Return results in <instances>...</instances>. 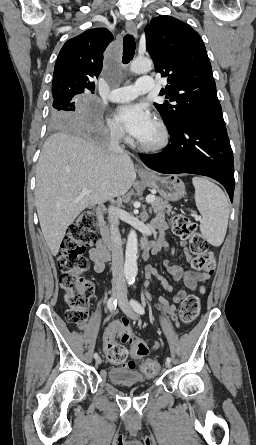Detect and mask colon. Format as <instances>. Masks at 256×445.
I'll return each mask as SVG.
<instances>
[{
    "label": "colon",
    "instance_id": "1",
    "mask_svg": "<svg viewBox=\"0 0 256 445\" xmlns=\"http://www.w3.org/2000/svg\"><path fill=\"white\" fill-rule=\"evenodd\" d=\"M97 209L90 207L84 210L75 222L69 227L58 252V266L60 269L59 284L64 291L65 302L68 306L67 319L82 328L86 319L88 302L93 293L92 282L81 274L87 268V262L82 257L84 250L93 244L97 230ZM172 232L189 240L190 252L194 255L195 268L212 274L216 257L209 248L206 239L198 231L196 224L185 214H175L171 220ZM200 292L204 287H200ZM200 310L198 295L187 296L180 309V319L189 324L195 320ZM125 326L130 324L127 318L122 319ZM125 344L130 345V354L133 358H142L148 354V347L141 339H135L126 334L121 342H114L105 347L108 360L112 363H123L127 357ZM159 370L156 361H146L143 372L147 376H154Z\"/></svg>",
    "mask_w": 256,
    "mask_h": 445
}]
</instances>
